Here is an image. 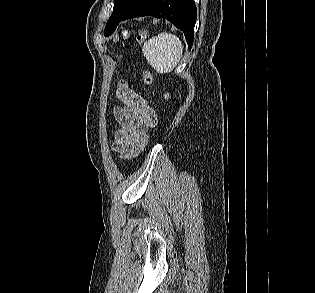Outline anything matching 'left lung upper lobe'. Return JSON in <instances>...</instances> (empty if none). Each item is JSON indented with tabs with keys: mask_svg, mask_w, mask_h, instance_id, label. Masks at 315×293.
<instances>
[{
	"mask_svg": "<svg viewBox=\"0 0 315 293\" xmlns=\"http://www.w3.org/2000/svg\"><path fill=\"white\" fill-rule=\"evenodd\" d=\"M139 0H114L113 13L110 16L106 27L104 29V35H111L122 18L136 5Z\"/></svg>",
	"mask_w": 315,
	"mask_h": 293,
	"instance_id": "left-lung-upper-lobe-1",
	"label": "left lung upper lobe"
}]
</instances>
